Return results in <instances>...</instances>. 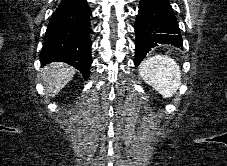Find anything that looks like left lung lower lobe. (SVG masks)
<instances>
[{"mask_svg": "<svg viewBox=\"0 0 227 166\" xmlns=\"http://www.w3.org/2000/svg\"><path fill=\"white\" fill-rule=\"evenodd\" d=\"M135 32L136 66L158 44L183 46L178 22L168 0H140Z\"/></svg>", "mask_w": 227, "mask_h": 166, "instance_id": "obj_1", "label": "left lung lower lobe"}]
</instances>
